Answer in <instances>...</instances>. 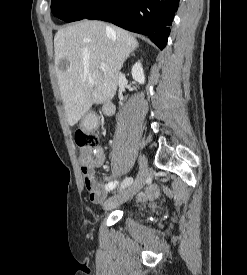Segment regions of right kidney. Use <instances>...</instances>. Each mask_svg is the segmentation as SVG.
<instances>
[{
  "label": "right kidney",
  "mask_w": 247,
  "mask_h": 275,
  "mask_svg": "<svg viewBox=\"0 0 247 275\" xmlns=\"http://www.w3.org/2000/svg\"><path fill=\"white\" fill-rule=\"evenodd\" d=\"M131 74L133 79L138 82L139 84L145 83V75L143 72V68L140 62H137L133 65Z\"/></svg>",
  "instance_id": "right-kidney-1"
}]
</instances>
